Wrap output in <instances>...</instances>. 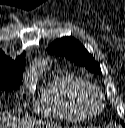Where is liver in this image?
I'll return each mask as SVG.
<instances>
[{
  "mask_svg": "<svg viewBox=\"0 0 125 128\" xmlns=\"http://www.w3.org/2000/svg\"><path fill=\"white\" fill-rule=\"evenodd\" d=\"M7 124H9V120L5 117H2L0 115V128H4L7 126ZM35 126L37 128H60L58 126H53L51 124H45V123H36Z\"/></svg>",
  "mask_w": 125,
  "mask_h": 128,
  "instance_id": "obj_1",
  "label": "liver"
}]
</instances>
